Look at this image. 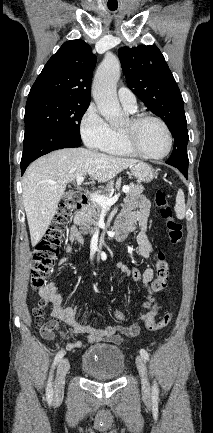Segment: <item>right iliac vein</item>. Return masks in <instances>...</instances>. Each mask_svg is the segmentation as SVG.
<instances>
[{
  "label": "right iliac vein",
  "mask_w": 213,
  "mask_h": 433,
  "mask_svg": "<svg viewBox=\"0 0 213 433\" xmlns=\"http://www.w3.org/2000/svg\"><path fill=\"white\" fill-rule=\"evenodd\" d=\"M69 368L70 364L68 359H62L58 365L56 379L54 383V394L56 398H61L64 393L65 376Z\"/></svg>",
  "instance_id": "right-iliac-vein-1"
}]
</instances>
